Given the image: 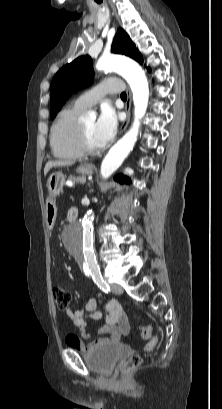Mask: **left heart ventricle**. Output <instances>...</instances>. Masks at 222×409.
I'll list each match as a JSON object with an SVG mask.
<instances>
[{
  "label": "left heart ventricle",
  "mask_w": 222,
  "mask_h": 409,
  "mask_svg": "<svg viewBox=\"0 0 222 409\" xmlns=\"http://www.w3.org/2000/svg\"><path fill=\"white\" fill-rule=\"evenodd\" d=\"M95 124L96 123H95L94 120H89V121H84L83 122L88 144L92 148H99V146L97 144V141H96V138H95Z\"/></svg>",
  "instance_id": "left-heart-ventricle-1"
}]
</instances>
